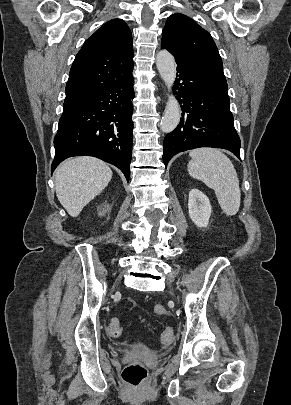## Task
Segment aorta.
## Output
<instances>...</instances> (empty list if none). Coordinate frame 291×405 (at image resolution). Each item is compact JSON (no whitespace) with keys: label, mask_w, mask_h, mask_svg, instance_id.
<instances>
[{"label":"aorta","mask_w":291,"mask_h":405,"mask_svg":"<svg viewBox=\"0 0 291 405\" xmlns=\"http://www.w3.org/2000/svg\"><path fill=\"white\" fill-rule=\"evenodd\" d=\"M156 66L168 89V101L161 121V130L169 133L177 127L181 117L179 102L172 92L176 78L175 59L167 50H161L156 56Z\"/></svg>","instance_id":"aorta-1"}]
</instances>
